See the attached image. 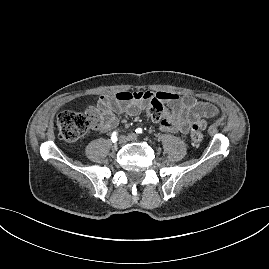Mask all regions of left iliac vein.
I'll list each match as a JSON object with an SVG mask.
<instances>
[{"mask_svg": "<svg viewBox=\"0 0 269 269\" xmlns=\"http://www.w3.org/2000/svg\"><path fill=\"white\" fill-rule=\"evenodd\" d=\"M128 140L130 141H137L138 135L136 133H129L127 136Z\"/></svg>", "mask_w": 269, "mask_h": 269, "instance_id": "4c4485c4", "label": "left iliac vein"}]
</instances>
